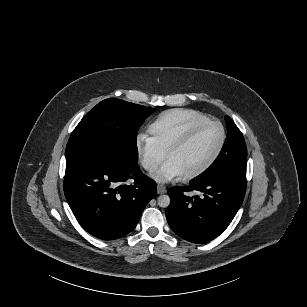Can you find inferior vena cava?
Instances as JSON below:
<instances>
[{
  "instance_id": "1",
  "label": "inferior vena cava",
  "mask_w": 307,
  "mask_h": 307,
  "mask_svg": "<svg viewBox=\"0 0 307 307\" xmlns=\"http://www.w3.org/2000/svg\"><path fill=\"white\" fill-rule=\"evenodd\" d=\"M141 165L145 170L149 171H155L157 168V165L155 163L149 162L147 160H142Z\"/></svg>"
}]
</instances>
